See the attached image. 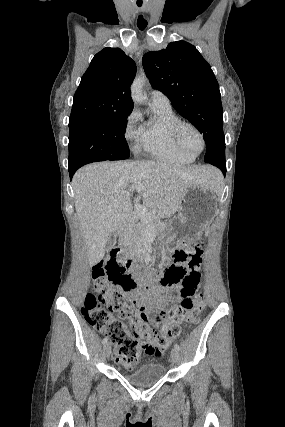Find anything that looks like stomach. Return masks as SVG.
I'll use <instances>...</instances> for the list:
<instances>
[{"mask_svg":"<svg viewBox=\"0 0 285 427\" xmlns=\"http://www.w3.org/2000/svg\"><path fill=\"white\" fill-rule=\"evenodd\" d=\"M218 198L216 191L203 184H193L186 188L180 200L178 216L168 226L166 234L175 238H194L213 222L217 215Z\"/></svg>","mask_w":285,"mask_h":427,"instance_id":"stomach-1","label":"stomach"}]
</instances>
